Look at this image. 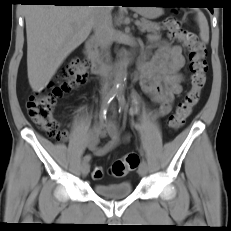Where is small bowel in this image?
Wrapping results in <instances>:
<instances>
[{
	"mask_svg": "<svg viewBox=\"0 0 231 231\" xmlns=\"http://www.w3.org/2000/svg\"><path fill=\"white\" fill-rule=\"evenodd\" d=\"M156 47L152 58L145 61L140 69L138 80L143 92L158 105L159 116L168 115L175 103V97L182 93L181 68L185 59L182 47L171 45L158 35L149 37V48ZM133 111L136 110L138 97L132 94ZM109 140L100 145V139ZM122 141L118 127L111 121L96 124L85 139V146L97 157H102L112 151Z\"/></svg>",
	"mask_w": 231,
	"mask_h": 231,
	"instance_id": "small-bowel-1",
	"label": "small bowel"
}]
</instances>
